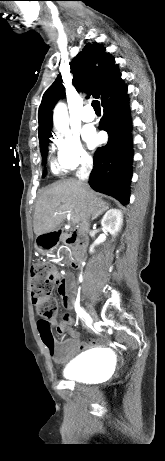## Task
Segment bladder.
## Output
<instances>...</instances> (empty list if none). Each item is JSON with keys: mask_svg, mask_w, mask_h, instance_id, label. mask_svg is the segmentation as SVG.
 I'll return each instance as SVG.
<instances>
[{"mask_svg": "<svg viewBox=\"0 0 165 461\" xmlns=\"http://www.w3.org/2000/svg\"><path fill=\"white\" fill-rule=\"evenodd\" d=\"M108 354L88 352L74 359L63 371V376L76 382L96 380L106 369Z\"/></svg>", "mask_w": 165, "mask_h": 461, "instance_id": "1", "label": "bladder"}]
</instances>
